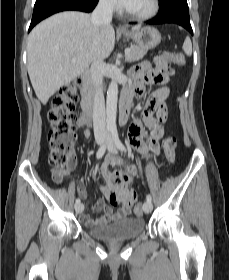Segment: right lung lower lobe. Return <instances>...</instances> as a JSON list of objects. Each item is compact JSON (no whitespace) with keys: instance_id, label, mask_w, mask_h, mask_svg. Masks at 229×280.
<instances>
[{"instance_id":"1","label":"right lung lower lobe","mask_w":229,"mask_h":280,"mask_svg":"<svg viewBox=\"0 0 229 280\" xmlns=\"http://www.w3.org/2000/svg\"><path fill=\"white\" fill-rule=\"evenodd\" d=\"M98 0H36L29 31L48 16L66 10L91 12Z\"/></svg>"}]
</instances>
